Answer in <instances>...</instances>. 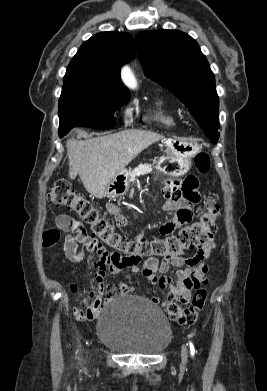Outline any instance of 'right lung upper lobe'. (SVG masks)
<instances>
[{
	"label": "right lung upper lobe",
	"mask_w": 267,
	"mask_h": 391,
	"mask_svg": "<svg viewBox=\"0 0 267 391\" xmlns=\"http://www.w3.org/2000/svg\"><path fill=\"white\" fill-rule=\"evenodd\" d=\"M135 53L128 33L101 32L85 41L67 68L64 80L90 78L120 90L128 89L120 79V67Z\"/></svg>",
	"instance_id": "1"
}]
</instances>
